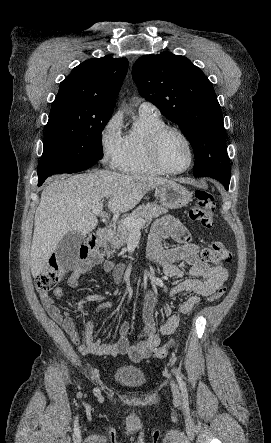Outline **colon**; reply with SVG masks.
<instances>
[{"label":"colon","instance_id":"5ec220e1","mask_svg":"<svg viewBox=\"0 0 271 443\" xmlns=\"http://www.w3.org/2000/svg\"><path fill=\"white\" fill-rule=\"evenodd\" d=\"M196 205L190 209L189 218L199 223L204 228H211L214 225V209L215 198L213 194L207 189H198L195 192ZM109 250L102 240L92 238L87 243L81 246L79 256L83 260L97 262L107 256ZM203 257L208 262L219 267L231 259V253L221 242H213L203 252ZM65 274L64 269L59 264L57 258L52 257L37 276L35 287L39 293H48L58 285ZM226 292V287L218 288L210 297L209 302L219 300ZM176 347V342L170 340L164 346L155 348L153 350V357L162 359L166 357L169 352Z\"/></svg>","mask_w":271,"mask_h":443}]
</instances>
